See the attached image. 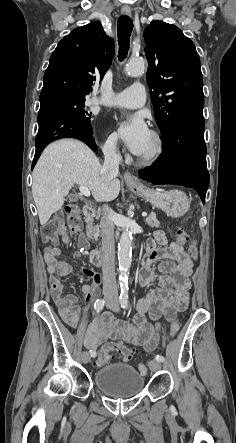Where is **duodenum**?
<instances>
[{
    "label": "duodenum",
    "mask_w": 236,
    "mask_h": 443,
    "mask_svg": "<svg viewBox=\"0 0 236 443\" xmlns=\"http://www.w3.org/2000/svg\"><path fill=\"white\" fill-rule=\"evenodd\" d=\"M84 216L85 218L90 222L92 221L95 216H96V210L94 207L87 205L84 208ZM94 234V230L92 228V225L89 226L88 232H87V237L90 239L93 237ZM90 261L94 266H101L102 265V260L100 257V252L97 249H93L90 252Z\"/></svg>",
    "instance_id": "410a0bca"
}]
</instances>
